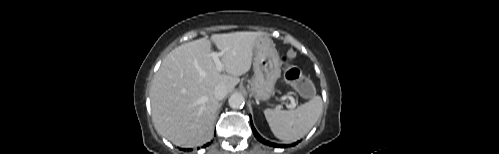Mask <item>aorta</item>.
Masks as SVG:
<instances>
[{"mask_svg": "<svg viewBox=\"0 0 499 154\" xmlns=\"http://www.w3.org/2000/svg\"><path fill=\"white\" fill-rule=\"evenodd\" d=\"M229 106L233 109H239L242 108L245 104V99L244 96L240 93H233L229 100H228Z\"/></svg>", "mask_w": 499, "mask_h": 154, "instance_id": "1", "label": "aorta"}]
</instances>
